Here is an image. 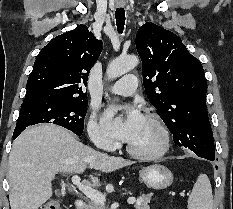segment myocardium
Instances as JSON below:
<instances>
[{
	"label": "myocardium",
	"mask_w": 233,
	"mask_h": 209,
	"mask_svg": "<svg viewBox=\"0 0 233 209\" xmlns=\"http://www.w3.org/2000/svg\"><path fill=\"white\" fill-rule=\"evenodd\" d=\"M145 118L149 119L159 130L160 132V145L159 147L150 152H141L138 150H135L130 144L126 145L127 152L133 156L134 158L140 159V160H154L158 159L162 156H164L170 147V133L165 125V123L162 121V119L154 114V113H148Z\"/></svg>",
	"instance_id": "obj_1"
}]
</instances>
